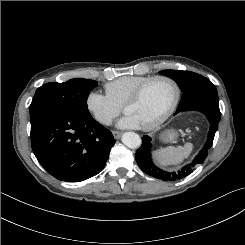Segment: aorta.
Masks as SVG:
<instances>
[{
  "mask_svg": "<svg viewBox=\"0 0 245 245\" xmlns=\"http://www.w3.org/2000/svg\"><path fill=\"white\" fill-rule=\"evenodd\" d=\"M122 142L128 148L134 149L141 145V138L135 132H126L122 135Z\"/></svg>",
  "mask_w": 245,
  "mask_h": 245,
  "instance_id": "762f6f07",
  "label": "aorta"
}]
</instances>
